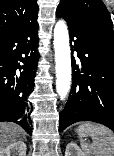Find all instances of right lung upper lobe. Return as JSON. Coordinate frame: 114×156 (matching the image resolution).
Segmentation results:
<instances>
[{
  "label": "right lung upper lobe",
  "instance_id": "cb5924a9",
  "mask_svg": "<svg viewBox=\"0 0 114 156\" xmlns=\"http://www.w3.org/2000/svg\"><path fill=\"white\" fill-rule=\"evenodd\" d=\"M38 17L36 0H0V36Z\"/></svg>",
  "mask_w": 114,
  "mask_h": 156
}]
</instances>
